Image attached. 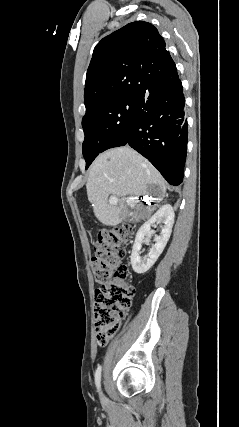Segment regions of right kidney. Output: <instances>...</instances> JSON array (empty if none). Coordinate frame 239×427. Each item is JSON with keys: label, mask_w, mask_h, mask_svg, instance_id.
<instances>
[{"label": "right kidney", "mask_w": 239, "mask_h": 427, "mask_svg": "<svg viewBox=\"0 0 239 427\" xmlns=\"http://www.w3.org/2000/svg\"><path fill=\"white\" fill-rule=\"evenodd\" d=\"M175 214L171 205L162 206L150 219H148L138 230L132 248L131 265L137 274H144L157 261L163 252L172 232ZM156 222L163 223L161 235L155 237L154 246L150 249L148 257L144 260L140 257V250L143 243H147V237L152 235L151 226Z\"/></svg>", "instance_id": "obj_1"}]
</instances>
